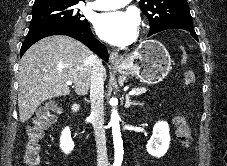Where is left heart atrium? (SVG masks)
I'll list each match as a JSON object with an SVG mask.
<instances>
[{
    "label": "left heart atrium",
    "instance_id": "39dd6f15",
    "mask_svg": "<svg viewBox=\"0 0 227 166\" xmlns=\"http://www.w3.org/2000/svg\"><path fill=\"white\" fill-rule=\"evenodd\" d=\"M137 16L129 11L107 12L97 16L94 26L100 38L114 45L133 41L137 30Z\"/></svg>",
    "mask_w": 227,
    "mask_h": 166
}]
</instances>
